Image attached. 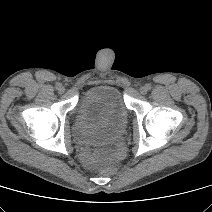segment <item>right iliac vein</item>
Instances as JSON below:
<instances>
[{
	"instance_id": "right-iliac-vein-1",
	"label": "right iliac vein",
	"mask_w": 212,
	"mask_h": 212,
	"mask_svg": "<svg viewBox=\"0 0 212 212\" xmlns=\"http://www.w3.org/2000/svg\"><path fill=\"white\" fill-rule=\"evenodd\" d=\"M58 91H59L60 94H63L64 91H65V88H64L63 86H60V87L58 88Z\"/></svg>"
}]
</instances>
